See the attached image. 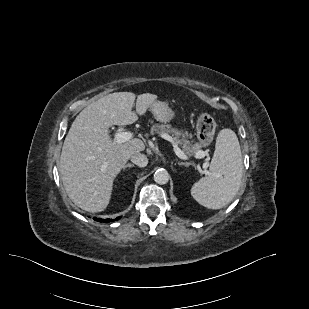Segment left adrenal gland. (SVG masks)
<instances>
[{
	"instance_id": "a2214340",
	"label": "left adrenal gland",
	"mask_w": 309,
	"mask_h": 309,
	"mask_svg": "<svg viewBox=\"0 0 309 309\" xmlns=\"http://www.w3.org/2000/svg\"><path fill=\"white\" fill-rule=\"evenodd\" d=\"M178 165L189 167L190 165H193V163H191V162H178Z\"/></svg>"
}]
</instances>
